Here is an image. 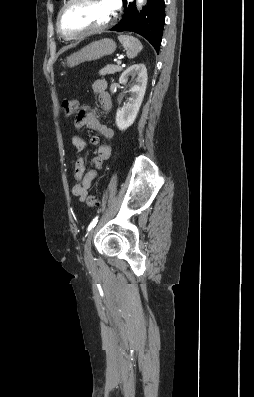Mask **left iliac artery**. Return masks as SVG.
Instances as JSON below:
<instances>
[{
    "instance_id": "obj_1",
    "label": "left iliac artery",
    "mask_w": 254,
    "mask_h": 397,
    "mask_svg": "<svg viewBox=\"0 0 254 397\" xmlns=\"http://www.w3.org/2000/svg\"><path fill=\"white\" fill-rule=\"evenodd\" d=\"M98 222V217L94 218L93 221L90 223V225L88 226V232L95 227V225Z\"/></svg>"
}]
</instances>
